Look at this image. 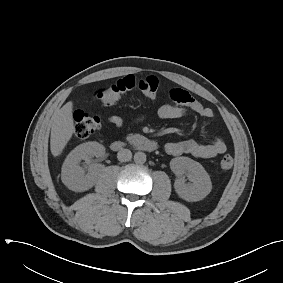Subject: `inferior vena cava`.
Wrapping results in <instances>:
<instances>
[{"mask_svg":"<svg viewBox=\"0 0 283 283\" xmlns=\"http://www.w3.org/2000/svg\"><path fill=\"white\" fill-rule=\"evenodd\" d=\"M117 158L120 162L130 161L132 158V152L129 149H121L117 153Z\"/></svg>","mask_w":283,"mask_h":283,"instance_id":"1","label":"inferior vena cava"}]
</instances>
